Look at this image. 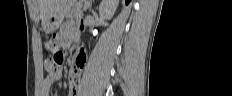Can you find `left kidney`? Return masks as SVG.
Wrapping results in <instances>:
<instances>
[{
	"mask_svg": "<svg viewBox=\"0 0 232 96\" xmlns=\"http://www.w3.org/2000/svg\"><path fill=\"white\" fill-rule=\"evenodd\" d=\"M119 0H102L99 6V14L103 19H111L117 9Z\"/></svg>",
	"mask_w": 232,
	"mask_h": 96,
	"instance_id": "left-kidney-1",
	"label": "left kidney"
}]
</instances>
